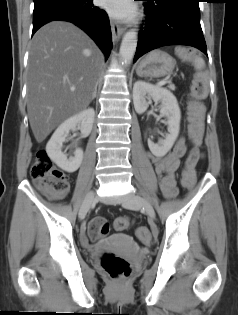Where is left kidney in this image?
<instances>
[{
    "mask_svg": "<svg viewBox=\"0 0 238 315\" xmlns=\"http://www.w3.org/2000/svg\"><path fill=\"white\" fill-rule=\"evenodd\" d=\"M151 99L160 102V113L167 118L168 134L158 143L148 139V146L153 155L162 157L166 155L176 141L179 129L181 112L176 97L169 90L156 87L144 81H137L133 86V103L138 114L144 113Z\"/></svg>",
    "mask_w": 238,
    "mask_h": 315,
    "instance_id": "obj_1",
    "label": "left kidney"
}]
</instances>
